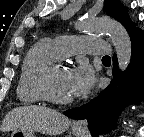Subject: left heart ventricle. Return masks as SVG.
I'll return each mask as SVG.
<instances>
[{
    "label": "left heart ventricle",
    "mask_w": 144,
    "mask_h": 137,
    "mask_svg": "<svg viewBox=\"0 0 144 137\" xmlns=\"http://www.w3.org/2000/svg\"><path fill=\"white\" fill-rule=\"evenodd\" d=\"M70 70L64 66H60L54 72L52 77V87L54 92L60 97H71L68 89V77Z\"/></svg>",
    "instance_id": "left-heart-ventricle-1"
}]
</instances>
